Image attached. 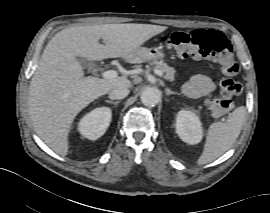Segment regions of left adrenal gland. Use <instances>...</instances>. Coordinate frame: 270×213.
I'll list each match as a JSON object with an SVG mask.
<instances>
[{
  "label": "left adrenal gland",
  "mask_w": 270,
  "mask_h": 213,
  "mask_svg": "<svg viewBox=\"0 0 270 213\" xmlns=\"http://www.w3.org/2000/svg\"><path fill=\"white\" fill-rule=\"evenodd\" d=\"M165 93H166V95H171V94H178V95H180L179 93L174 92V91L170 90L169 88H166L165 89Z\"/></svg>",
  "instance_id": "left-adrenal-gland-1"
}]
</instances>
